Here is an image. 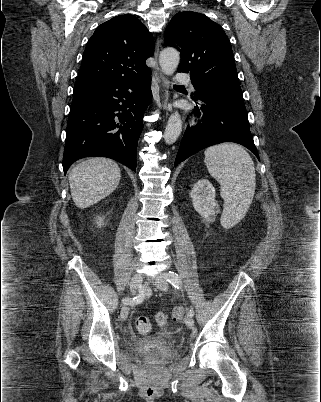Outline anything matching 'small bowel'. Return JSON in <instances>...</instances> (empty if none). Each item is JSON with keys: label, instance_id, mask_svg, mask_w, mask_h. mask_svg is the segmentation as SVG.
<instances>
[{"label": "small bowel", "instance_id": "1", "mask_svg": "<svg viewBox=\"0 0 321 402\" xmlns=\"http://www.w3.org/2000/svg\"><path fill=\"white\" fill-rule=\"evenodd\" d=\"M159 314H163V313H159ZM158 314V315H159ZM158 315H157V318H158ZM159 321V320H158ZM159 323L161 324V326H163V327H165L166 326V322H162V321H159ZM165 334H169V333H165Z\"/></svg>", "mask_w": 321, "mask_h": 402}]
</instances>
